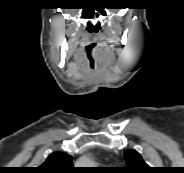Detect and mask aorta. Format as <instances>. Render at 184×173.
I'll return each instance as SVG.
<instances>
[{
  "label": "aorta",
  "mask_w": 184,
  "mask_h": 173,
  "mask_svg": "<svg viewBox=\"0 0 184 173\" xmlns=\"http://www.w3.org/2000/svg\"><path fill=\"white\" fill-rule=\"evenodd\" d=\"M80 164H81V165H92L93 162H92L89 158H83V159L80 161Z\"/></svg>",
  "instance_id": "aorta-1"
}]
</instances>
